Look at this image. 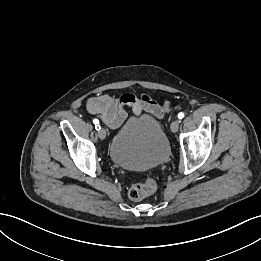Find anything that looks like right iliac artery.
Masks as SVG:
<instances>
[{"mask_svg":"<svg viewBox=\"0 0 261 261\" xmlns=\"http://www.w3.org/2000/svg\"><path fill=\"white\" fill-rule=\"evenodd\" d=\"M93 123L95 124L96 130H100L101 129V127L99 125V120L98 119H93Z\"/></svg>","mask_w":261,"mask_h":261,"instance_id":"82829eb1","label":"right iliac artery"}]
</instances>
